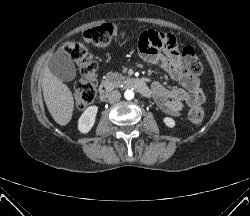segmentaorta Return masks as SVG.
<instances>
[{"label": "aorta", "mask_w": 250, "mask_h": 216, "mask_svg": "<svg viewBox=\"0 0 250 216\" xmlns=\"http://www.w3.org/2000/svg\"><path fill=\"white\" fill-rule=\"evenodd\" d=\"M124 96L127 100H131L134 98V92L132 90H126Z\"/></svg>", "instance_id": "762f6f07"}]
</instances>
